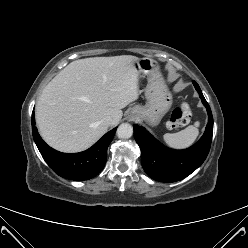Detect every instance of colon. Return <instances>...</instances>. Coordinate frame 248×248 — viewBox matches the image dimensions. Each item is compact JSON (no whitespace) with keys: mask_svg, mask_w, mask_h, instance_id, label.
I'll use <instances>...</instances> for the list:
<instances>
[{"mask_svg":"<svg viewBox=\"0 0 248 248\" xmlns=\"http://www.w3.org/2000/svg\"><path fill=\"white\" fill-rule=\"evenodd\" d=\"M191 119V108L187 102H183L179 108H176L168 121V127L176 128L186 125Z\"/></svg>","mask_w":248,"mask_h":248,"instance_id":"1","label":"colon"}]
</instances>
